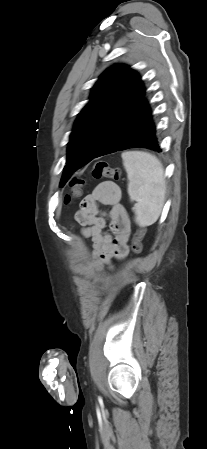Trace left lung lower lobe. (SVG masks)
Listing matches in <instances>:
<instances>
[{
    "label": "left lung lower lobe",
    "mask_w": 207,
    "mask_h": 449,
    "mask_svg": "<svg viewBox=\"0 0 207 449\" xmlns=\"http://www.w3.org/2000/svg\"><path fill=\"white\" fill-rule=\"evenodd\" d=\"M142 147L161 152L150 105L144 99L108 134L94 158L119 150Z\"/></svg>",
    "instance_id": "left-lung-lower-lobe-1"
}]
</instances>
